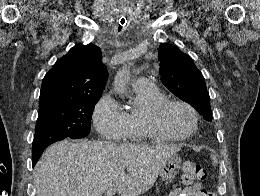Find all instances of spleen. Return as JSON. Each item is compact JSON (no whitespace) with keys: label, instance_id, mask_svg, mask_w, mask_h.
<instances>
[{"label":"spleen","instance_id":"spleen-1","mask_svg":"<svg viewBox=\"0 0 260 196\" xmlns=\"http://www.w3.org/2000/svg\"><path fill=\"white\" fill-rule=\"evenodd\" d=\"M211 160L213 162V166H216L217 160H216L215 156H211Z\"/></svg>","mask_w":260,"mask_h":196}]
</instances>
